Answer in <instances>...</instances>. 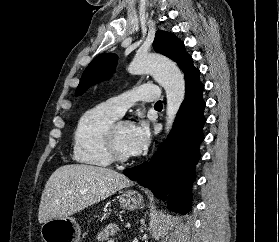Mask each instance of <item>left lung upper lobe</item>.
Listing matches in <instances>:
<instances>
[{
	"mask_svg": "<svg viewBox=\"0 0 279 242\" xmlns=\"http://www.w3.org/2000/svg\"><path fill=\"white\" fill-rule=\"evenodd\" d=\"M153 48L156 52L174 60L180 67L189 57L183 42L173 34L165 31L156 32ZM117 59L118 56L112 53L101 54L94 58L82 75L76 89V96L85 92L92 84L109 78L116 66Z\"/></svg>",
	"mask_w": 279,
	"mask_h": 242,
	"instance_id": "5c2ea615",
	"label": "left lung upper lobe"
}]
</instances>
